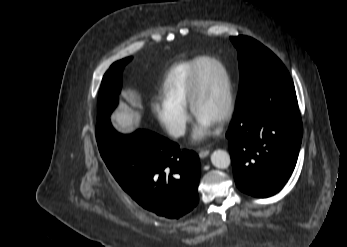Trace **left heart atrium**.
<instances>
[{
  "label": "left heart atrium",
  "mask_w": 347,
  "mask_h": 247,
  "mask_svg": "<svg viewBox=\"0 0 347 247\" xmlns=\"http://www.w3.org/2000/svg\"><path fill=\"white\" fill-rule=\"evenodd\" d=\"M215 121L197 116V126L194 130V138L203 140L208 137L212 131Z\"/></svg>",
  "instance_id": "1"
}]
</instances>
